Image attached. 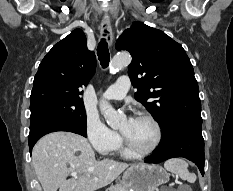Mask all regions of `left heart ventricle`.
Masks as SVG:
<instances>
[{"label":"left heart ventricle","instance_id":"1","mask_svg":"<svg viewBox=\"0 0 233 191\" xmlns=\"http://www.w3.org/2000/svg\"><path fill=\"white\" fill-rule=\"evenodd\" d=\"M120 130L135 147L141 150L150 148L156 138L153 124L145 119L125 120Z\"/></svg>","mask_w":233,"mask_h":191}]
</instances>
